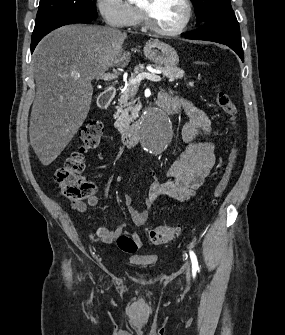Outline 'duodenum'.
<instances>
[{
	"label": "duodenum",
	"instance_id": "410a0bca",
	"mask_svg": "<svg viewBox=\"0 0 285 335\" xmlns=\"http://www.w3.org/2000/svg\"><path fill=\"white\" fill-rule=\"evenodd\" d=\"M116 95V88L109 87L102 91L98 98V105L100 108H106L112 102ZM160 109L167 114H174L176 112V107L170 100L159 99L158 103ZM140 122H134L129 127H127L122 133V142L127 147H133L140 138Z\"/></svg>",
	"mask_w": 285,
	"mask_h": 335
}]
</instances>
